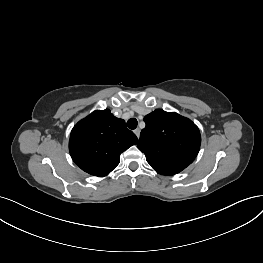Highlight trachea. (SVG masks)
I'll return each mask as SVG.
<instances>
[{
	"instance_id": "3493384b",
	"label": "trachea",
	"mask_w": 263,
	"mask_h": 263,
	"mask_svg": "<svg viewBox=\"0 0 263 263\" xmlns=\"http://www.w3.org/2000/svg\"><path fill=\"white\" fill-rule=\"evenodd\" d=\"M137 119L136 118H131L127 121V126L129 129H135L137 127Z\"/></svg>"
}]
</instances>
